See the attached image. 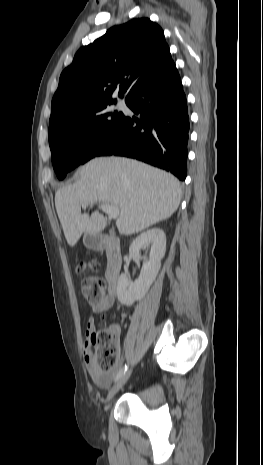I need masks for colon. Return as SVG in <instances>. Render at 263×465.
<instances>
[{
    "label": "colon",
    "mask_w": 263,
    "mask_h": 465,
    "mask_svg": "<svg viewBox=\"0 0 263 465\" xmlns=\"http://www.w3.org/2000/svg\"><path fill=\"white\" fill-rule=\"evenodd\" d=\"M97 268L98 265L93 262H81L77 265L78 272ZM81 290L84 297L94 303L104 297L106 283L100 277L87 276L82 281ZM88 343L94 349L93 359L99 371L109 372L118 366L120 349L115 329H95L90 334Z\"/></svg>",
    "instance_id": "5ec220e1"
}]
</instances>
